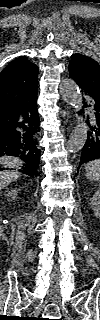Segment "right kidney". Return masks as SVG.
Instances as JSON below:
<instances>
[{
	"instance_id": "right-kidney-1",
	"label": "right kidney",
	"mask_w": 100,
	"mask_h": 320,
	"mask_svg": "<svg viewBox=\"0 0 100 320\" xmlns=\"http://www.w3.org/2000/svg\"><path fill=\"white\" fill-rule=\"evenodd\" d=\"M18 191L16 189L10 190L8 191V193L6 194L7 197H10L12 199H15L17 196Z\"/></svg>"
}]
</instances>
